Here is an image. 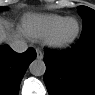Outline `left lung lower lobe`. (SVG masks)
<instances>
[{
    "label": "left lung lower lobe",
    "mask_w": 95,
    "mask_h": 95,
    "mask_svg": "<svg viewBox=\"0 0 95 95\" xmlns=\"http://www.w3.org/2000/svg\"><path fill=\"white\" fill-rule=\"evenodd\" d=\"M44 82L50 95H95V32L67 52L45 50Z\"/></svg>",
    "instance_id": "1"
}]
</instances>
